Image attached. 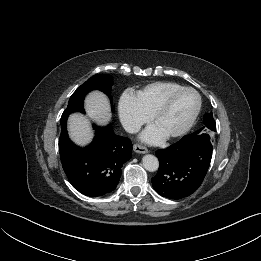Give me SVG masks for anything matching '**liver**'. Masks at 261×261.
<instances>
[{
	"instance_id": "1",
	"label": "liver",
	"mask_w": 261,
	"mask_h": 261,
	"mask_svg": "<svg viewBox=\"0 0 261 261\" xmlns=\"http://www.w3.org/2000/svg\"><path fill=\"white\" fill-rule=\"evenodd\" d=\"M85 109L88 115L99 124H105L111 118L109 101L99 91H93L86 97ZM68 131L71 139L82 146L88 144L93 137L88 120L81 114H72L69 117Z\"/></svg>"
}]
</instances>
